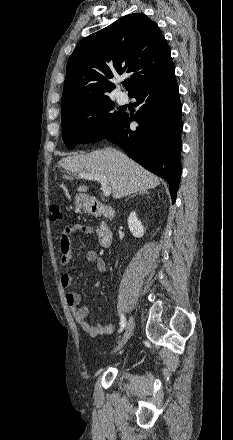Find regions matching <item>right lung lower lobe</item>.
Returning a JSON list of instances; mask_svg holds the SVG:
<instances>
[{
  "label": "right lung lower lobe",
  "instance_id": "1",
  "mask_svg": "<svg viewBox=\"0 0 233 440\" xmlns=\"http://www.w3.org/2000/svg\"><path fill=\"white\" fill-rule=\"evenodd\" d=\"M130 97L140 105L135 117L127 113L104 139L120 146L125 153L169 183L175 202L181 176L182 106L174 66L163 75L142 85ZM135 121L136 129L129 124Z\"/></svg>",
  "mask_w": 233,
  "mask_h": 440
}]
</instances>
